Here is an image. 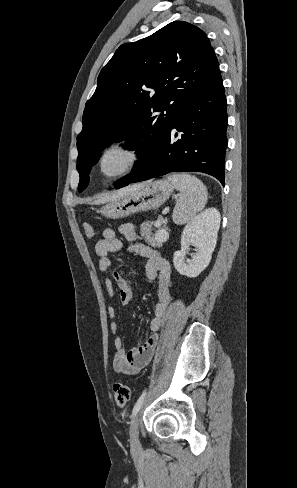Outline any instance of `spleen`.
Returning a JSON list of instances; mask_svg holds the SVG:
<instances>
[{
	"mask_svg": "<svg viewBox=\"0 0 297 488\" xmlns=\"http://www.w3.org/2000/svg\"><path fill=\"white\" fill-rule=\"evenodd\" d=\"M168 180L180 192L173 212V220L184 224L202 210L207 202V190L196 177L187 174H173Z\"/></svg>",
	"mask_w": 297,
	"mask_h": 488,
	"instance_id": "3e777b00",
	"label": "spleen"
}]
</instances>
